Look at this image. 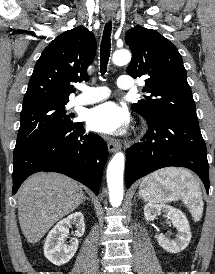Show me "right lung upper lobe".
Here are the masks:
<instances>
[{"label": "right lung upper lobe", "instance_id": "right-lung-upper-lobe-1", "mask_svg": "<svg viewBox=\"0 0 215 274\" xmlns=\"http://www.w3.org/2000/svg\"><path fill=\"white\" fill-rule=\"evenodd\" d=\"M96 52L94 35L78 26L57 36L42 52L30 78L23 107L43 102H67L71 83L87 80Z\"/></svg>", "mask_w": 215, "mask_h": 274}]
</instances>
